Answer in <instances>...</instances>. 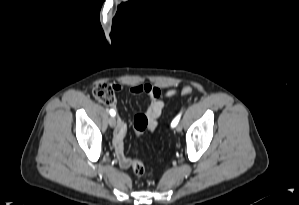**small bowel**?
<instances>
[{
    "mask_svg": "<svg viewBox=\"0 0 299 205\" xmlns=\"http://www.w3.org/2000/svg\"><path fill=\"white\" fill-rule=\"evenodd\" d=\"M115 89L119 90L120 85H114ZM130 91L133 94L145 93L149 96V105L145 112V116L148 119L147 129L153 131L158 123V119L165 107V99L173 97L177 93L176 88H171L166 91H162L159 87L151 84H139L131 87ZM127 132V125L125 121L120 120L117 129L113 136V146L115 150V156L118 164L121 168L127 169L131 166V159L126 156L124 152V138Z\"/></svg>",
    "mask_w": 299,
    "mask_h": 205,
    "instance_id": "c3829d8e",
    "label": "small bowel"
}]
</instances>
